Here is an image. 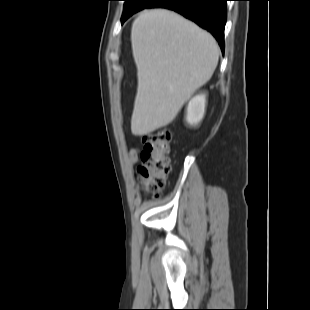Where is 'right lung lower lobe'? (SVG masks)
<instances>
[{
    "mask_svg": "<svg viewBox=\"0 0 310 310\" xmlns=\"http://www.w3.org/2000/svg\"><path fill=\"white\" fill-rule=\"evenodd\" d=\"M228 0H157L147 8L174 10L209 31L224 51L226 2ZM129 17L122 19V23Z\"/></svg>",
    "mask_w": 310,
    "mask_h": 310,
    "instance_id": "right-lung-lower-lobe-1",
    "label": "right lung lower lobe"
}]
</instances>
